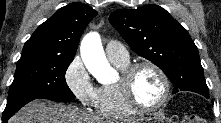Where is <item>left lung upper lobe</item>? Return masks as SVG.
<instances>
[{
	"label": "left lung upper lobe",
	"mask_w": 221,
	"mask_h": 123,
	"mask_svg": "<svg viewBox=\"0 0 221 123\" xmlns=\"http://www.w3.org/2000/svg\"><path fill=\"white\" fill-rule=\"evenodd\" d=\"M109 21L135 53L164 71L175 87L173 93L181 90L209 96L196 45L165 9L158 5L118 9Z\"/></svg>",
	"instance_id": "left-lung-upper-lobe-1"
}]
</instances>
